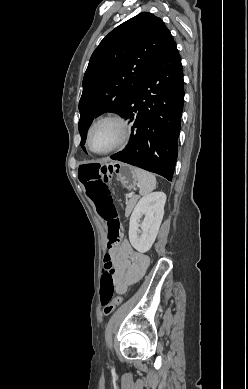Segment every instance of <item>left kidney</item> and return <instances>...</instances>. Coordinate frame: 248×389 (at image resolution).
Instances as JSON below:
<instances>
[{
	"mask_svg": "<svg viewBox=\"0 0 248 389\" xmlns=\"http://www.w3.org/2000/svg\"><path fill=\"white\" fill-rule=\"evenodd\" d=\"M165 202V193L153 192L142 197L135 206L130 217L129 240L138 252L145 253L152 247L163 219Z\"/></svg>",
	"mask_w": 248,
	"mask_h": 389,
	"instance_id": "1",
	"label": "left kidney"
}]
</instances>
